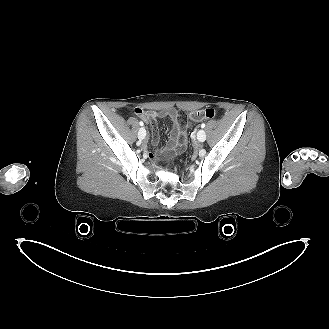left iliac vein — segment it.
Segmentation results:
<instances>
[{
    "label": "left iliac vein",
    "instance_id": "obj_1",
    "mask_svg": "<svg viewBox=\"0 0 329 329\" xmlns=\"http://www.w3.org/2000/svg\"><path fill=\"white\" fill-rule=\"evenodd\" d=\"M197 139L199 142H204L206 140V133L203 129H200L197 133Z\"/></svg>",
    "mask_w": 329,
    "mask_h": 329
}]
</instances>
